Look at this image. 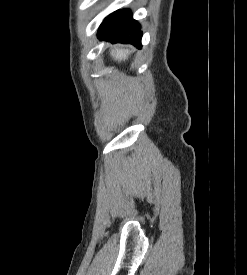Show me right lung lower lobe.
<instances>
[{
    "mask_svg": "<svg viewBox=\"0 0 247 275\" xmlns=\"http://www.w3.org/2000/svg\"><path fill=\"white\" fill-rule=\"evenodd\" d=\"M98 37L100 40L130 43L141 48L140 25L132 18L129 10H118L106 17L100 25Z\"/></svg>",
    "mask_w": 247,
    "mask_h": 275,
    "instance_id": "obj_1",
    "label": "right lung lower lobe"
}]
</instances>
